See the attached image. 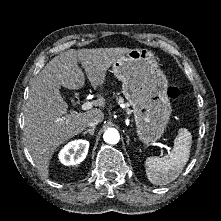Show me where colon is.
Masks as SVG:
<instances>
[{
    "instance_id": "colon-1",
    "label": "colon",
    "mask_w": 221,
    "mask_h": 221,
    "mask_svg": "<svg viewBox=\"0 0 221 221\" xmlns=\"http://www.w3.org/2000/svg\"><path fill=\"white\" fill-rule=\"evenodd\" d=\"M181 95L182 93L178 86H170L166 92V97L168 101L172 103L179 101L181 98Z\"/></svg>"
}]
</instances>
